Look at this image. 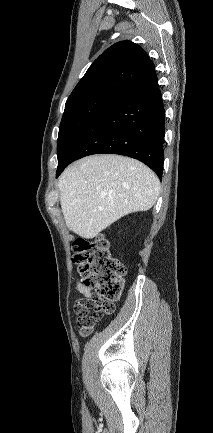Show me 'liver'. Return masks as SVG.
<instances>
[{
  "instance_id": "6515ba94",
  "label": "liver",
  "mask_w": 213,
  "mask_h": 433,
  "mask_svg": "<svg viewBox=\"0 0 213 433\" xmlns=\"http://www.w3.org/2000/svg\"><path fill=\"white\" fill-rule=\"evenodd\" d=\"M58 189L67 226L92 239L121 217L149 210L159 196L160 181L135 159L93 155L67 167Z\"/></svg>"
}]
</instances>
